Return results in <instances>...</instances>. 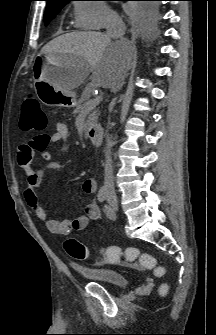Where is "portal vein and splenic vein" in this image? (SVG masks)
<instances>
[{"instance_id":"portal-vein-and-splenic-vein-1","label":"portal vein and splenic vein","mask_w":216,"mask_h":335,"mask_svg":"<svg viewBox=\"0 0 216 335\" xmlns=\"http://www.w3.org/2000/svg\"><path fill=\"white\" fill-rule=\"evenodd\" d=\"M102 98V95L95 96L94 99L89 103V108H93L98 105L102 101Z\"/></svg>"}]
</instances>
